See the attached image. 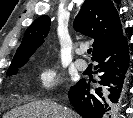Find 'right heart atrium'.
I'll return each instance as SVG.
<instances>
[{
  "instance_id": "1",
  "label": "right heart atrium",
  "mask_w": 133,
  "mask_h": 118,
  "mask_svg": "<svg viewBox=\"0 0 133 118\" xmlns=\"http://www.w3.org/2000/svg\"><path fill=\"white\" fill-rule=\"evenodd\" d=\"M57 66L53 63L44 64L38 71V81L43 89L50 90L59 83Z\"/></svg>"
}]
</instances>
